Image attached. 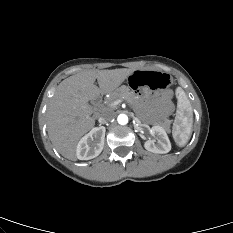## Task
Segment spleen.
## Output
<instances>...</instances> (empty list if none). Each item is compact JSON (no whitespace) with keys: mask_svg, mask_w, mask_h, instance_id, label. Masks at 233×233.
I'll return each mask as SVG.
<instances>
[{"mask_svg":"<svg viewBox=\"0 0 233 233\" xmlns=\"http://www.w3.org/2000/svg\"><path fill=\"white\" fill-rule=\"evenodd\" d=\"M177 112L173 124V138L178 146L183 147L190 139L193 125V112L189 99L182 88L176 89Z\"/></svg>","mask_w":233,"mask_h":233,"instance_id":"1","label":"spleen"}]
</instances>
